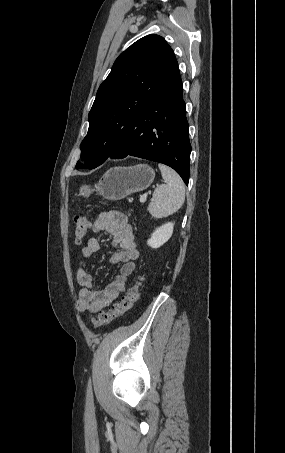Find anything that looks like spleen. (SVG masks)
I'll return each instance as SVG.
<instances>
[{
    "instance_id": "3e777b00",
    "label": "spleen",
    "mask_w": 285,
    "mask_h": 453,
    "mask_svg": "<svg viewBox=\"0 0 285 453\" xmlns=\"http://www.w3.org/2000/svg\"><path fill=\"white\" fill-rule=\"evenodd\" d=\"M166 184L158 186L148 206L154 218L168 217L177 212L185 200V186L181 177L171 168L158 165Z\"/></svg>"
}]
</instances>
